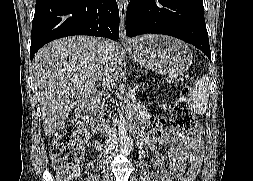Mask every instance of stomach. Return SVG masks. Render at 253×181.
Here are the masks:
<instances>
[{"mask_svg": "<svg viewBox=\"0 0 253 181\" xmlns=\"http://www.w3.org/2000/svg\"><path fill=\"white\" fill-rule=\"evenodd\" d=\"M126 50L140 65L164 75L181 74L192 64L188 46L169 36L144 35L133 39Z\"/></svg>", "mask_w": 253, "mask_h": 181, "instance_id": "stomach-1", "label": "stomach"}]
</instances>
